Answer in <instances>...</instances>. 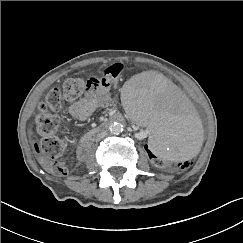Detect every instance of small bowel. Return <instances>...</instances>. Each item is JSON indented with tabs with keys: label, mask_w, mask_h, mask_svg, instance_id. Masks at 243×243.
Segmentation results:
<instances>
[{
	"label": "small bowel",
	"mask_w": 243,
	"mask_h": 243,
	"mask_svg": "<svg viewBox=\"0 0 243 243\" xmlns=\"http://www.w3.org/2000/svg\"><path fill=\"white\" fill-rule=\"evenodd\" d=\"M112 102L113 96L109 87L98 84L92 86L83 98L71 104L69 112L74 119L84 121L89 118L97 108L110 105Z\"/></svg>",
	"instance_id": "1"
}]
</instances>
